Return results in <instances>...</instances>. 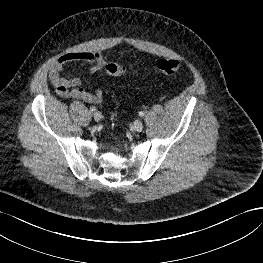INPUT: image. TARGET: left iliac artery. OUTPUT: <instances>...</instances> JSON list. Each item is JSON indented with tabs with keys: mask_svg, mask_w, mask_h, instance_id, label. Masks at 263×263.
I'll return each mask as SVG.
<instances>
[{
	"mask_svg": "<svg viewBox=\"0 0 263 263\" xmlns=\"http://www.w3.org/2000/svg\"><path fill=\"white\" fill-rule=\"evenodd\" d=\"M145 115V113L143 111L139 112V116L143 117Z\"/></svg>",
	"mask_w": 263,
	"mask_h": 263,
	"instance_id": "44dca946",
	"label": "left iliac artery"
}]
</instances>
